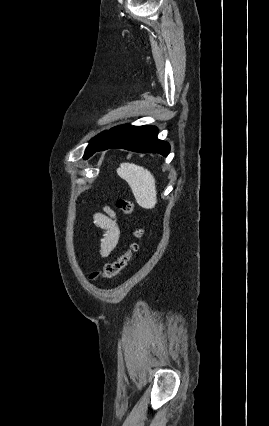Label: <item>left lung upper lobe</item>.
I'll list each match as a JSON object with an SVG mask.
<instances>
[{
    "label": "left lung upper lobe",
    "mask_w": 269,
    "mask_h": 426,
    "mask_svg": "<svg viewBox=\"0 0 269 426\" xmlns=\"http://www.w3.org/2000/svg\"><path fill=\"white\" fill-rule=\"evenodd\" d=\"M106 134H107V131H104L90 141L89 145L87 146L85 150L84 159L89 158L90 153L93 151L94 148H96L103 141Z\"/></svg>",
    "instance_id": "left-lung-upper-lobe-1"
}]
</instances>
